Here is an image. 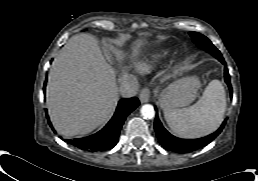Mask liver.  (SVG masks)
<instances>
[{
	"mask_svg": "<svg viewBox=\"0 0 258 181\" xmlns=\"http://www.w3.org/2000/svg\"><path fill=\"white\" fill-rule=\"evenodd\" d=\"M116 54L122 57L121 51ZM117 101L116 73L96 40L85 33L71 37L48 75L46 105L57 132L65 137L90 133L109 119Z\"/></svg>",
	"mask_w": 258,
	"mask_h": 181,
	"instance_id": "6515ba94",
	"label": "liver"
}]
</instances>
